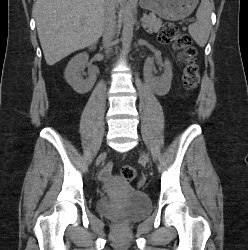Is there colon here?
Masks as SVG:
<instances>
[{
  "label": "colon",
  "instance_id": "1",
  "mask_svg": "<svg viewBox=\"0 0 248 250\" xmlns=\"http://www.w3.org/2000/svg\"><path fill=\"white\" fill-rule=\"evenodd\" d=\"M160 39L164 43H172L176 48L183 50L185 58L183 85L187 91L194 90L199 84L200 73L196 63V50L192 46L191 39L170 23L164 25ZM120 176L124 182L131 183L136 177V170L133 166L125 165L120 169Z\"/></svg>",
  "mask_w": 248,
  "mask_h": 250
}]
</instances>
